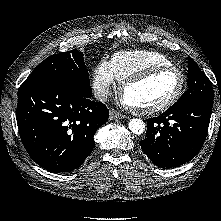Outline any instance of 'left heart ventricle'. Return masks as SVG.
Masks as SVG:
<instances>
[{
    "instance_id": "left-heart-ventricle-1",
    "label": "left heart ventricle",
    "mask_w": 221,
    "mask_h": 221,
    "mask_svg": "<svg viewBox=\"0 0 221 221\" xmlns=\"http://www.w3.org/2000/svg\"><path fill=\"white\" fill-rule=\"evenodd\" d=\"M179 84L180 76L176 71H165L129 86L123 98L135 107L154 106L170 98L178 89Z\"/></svg>"
}]
</instances>
